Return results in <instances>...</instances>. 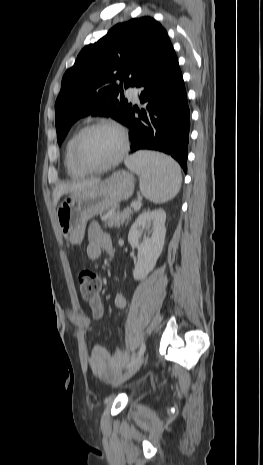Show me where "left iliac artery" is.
Here are the masks:
<instances>
[{
	"instance_id": "1",
	"label": "left iliac artery",
	"mask_w": 263,
	"mask_h": 465,
	"mask_svg": "<svg viewBox=\"0 0 263 465\" xmlns=\"http://www.w3.org/2000/svg\"><path fill=\"white\" fill-rule=\"evenodd\" d=\"M146 346L145 343H142L138 353L132 358L131 362L127 365V368H130L145 352Z\"/></svg>"
}]
</instances>
